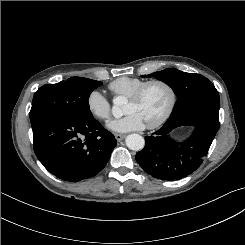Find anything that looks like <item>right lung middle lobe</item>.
Wrapping results in <instances>:
<instances>
[{
    "instance_id": "1",
    "label": "right lung middle lobe",
    "mask_w": 245,
    "mask_h": 245,
    "mask_svg": "<svg viewBox=\"0 0 245 245\" xmlns=\"http://www.w3.org/2000/svg\"><path fill=\"white\" fill-rule=\"evenodd\" d=\"M102 82L84 77H71L57 84H46L34 94L30 110L31 124L45 116L68 121L93 118L88 98Z\"/></svg>"
}]
</instances>
